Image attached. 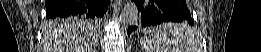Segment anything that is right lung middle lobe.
<instances>
[{
    "label": "right lung middle lobe",
    "instance_id": "1",
    "mask_svg": "<svg viewBox=\"0 0 261 52\" xmlns=\"http://www.w3.org/2000/svg\"><path fill=\"white\" fill-rule=\"evenodd\" d=\"M58 23H83L87 24L91 29H96L99 25V20L89 19L84 16H67V17H57L52 20Z\"/></svg>",
    "mask_w": 261,
    "mask_h": 52
}]
</instances>
